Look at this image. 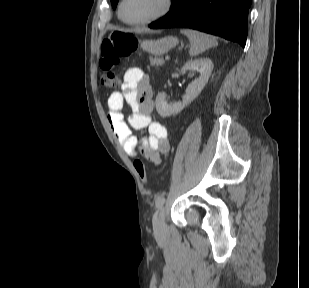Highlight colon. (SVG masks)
<instances>
[{
    "label": "colon",
    "instance_id": "5ec220e1",
    "mask_svg": "<svg viewBox=\"0 0 309 288\" xmlns=\"http://www.w3.org/2000/svg\"><path fill=\"white\" fill-rule=\"evenodd\" d=\"M137 48V40L127 31H115L105 38L101 44L99 67L102 71L100 83L104 87L116 84L115 69L120 61L131 55ZM140 177L147 183L146 166L141 160L134 162Z\"/></svg>",
    "mask_w": 309,
    "mask_h": 288
}]
</instances>
